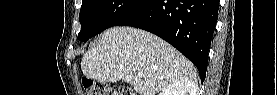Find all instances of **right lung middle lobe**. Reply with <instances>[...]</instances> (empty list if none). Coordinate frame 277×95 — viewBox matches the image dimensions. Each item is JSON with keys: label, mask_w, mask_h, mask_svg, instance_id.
Returning <instances> with one entry per match:
<instances>
[{"label": "right lung middle lobe", "mask_w": 277, "mask_h": 95, "mask_svg": "<svg viewBox=\"0 0 277 95\" xmlns=\"http://www.w3.org/2000/svg\"><path fill=\"white\" fill-rule=\"evenodd\" d=\"M143 0H83L79 15L78 39L86 41L105 29L116 26Z\"/></svg>", "instance_id": "1"}]
</instances>
